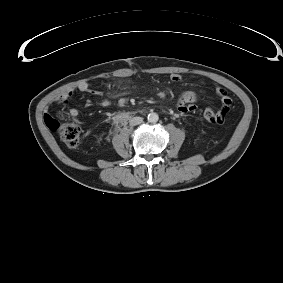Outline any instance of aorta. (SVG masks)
Returning <instances> with one entry per match:
<instances>
[{"instance_id": "aorta-1", "label": "aorta", "mask_w": 283, "mask_h": 283, "mask_svg": "<svg viewBox=\"0 0 283 283\" xmlns=\"http://www.w3.org/2000/svg\"><path fill=\"white\" fill-rule=\"evenodd\" d=\"M147 118L150 123H156L159 120V116L155 112L149 113Z\"/></svg>"}]
</instances>
